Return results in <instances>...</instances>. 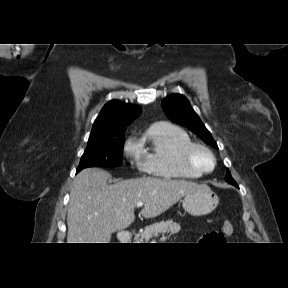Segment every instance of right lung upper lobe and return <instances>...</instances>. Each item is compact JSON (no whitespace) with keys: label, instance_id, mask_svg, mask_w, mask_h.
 Returning <instances> with one entry per match:
<instances>
[{"label":"right lung upper lobe","instance_id":"cb5924a9","mask_svg":"<svg viewBox=\"0 0 288 288\" xmlns=\"http://www.w3.org/2000/svg\"><path fill=\"white\" fill-rule=\"evenodd\" d=\"M141 111L139 106L125 104L119 100L108 102L93 124L89 141L124 133L126 127Z\"/></svg>","mask_w":288,"mask_h":288}]
</instances>
